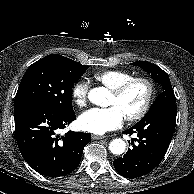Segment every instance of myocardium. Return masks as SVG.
Instances as JSON below:
<instances>
[{
	"instance_id": "obj_1",
	"label": "myocardium",
	"mask_w": 194,
	"mask_h": 194,
	"mask_svg": "<svg viewBox=\"0 0 194 194\" xmlns=\"http://www.w3.org/2000/svg\"><path fill=\"white\" fill-rule=\"evenodd\" d=\"M135 83H142L147 89V95L142 107L136 113L125 116V120L129 122H134L142 119L149 111L155 93L153 82L147 77H133L121 83L117 87L111 89V94L116 97H120Z\"/></svg>"
}]
</instances>
